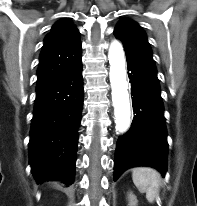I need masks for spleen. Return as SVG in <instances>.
I'll use <instances>...</instances> for the list:
<instances>
[{"label": "spleen", "mask_w": 197, "mask_h": 206, "mask_svg": "<svg viewBox=\"0 0 197 206\" xmlns=\"http://www.w3.org/2000/svg\"><path fill=\"white\" fill-rule=\"evenodd\" d=\"M132 180L141 193H146V199L153 203L160 189V174L149 167H138L133 169Z\"/></svg>", "instance_id": "3e777b00"}]
</instances>
